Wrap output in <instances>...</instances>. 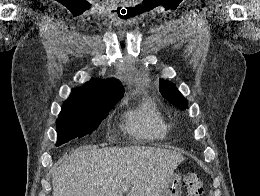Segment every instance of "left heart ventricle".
<instances>
[{
    "label": "left heart ventricle",
    "instance_id": "1",
    "mask_svg": "<svg viewBox=\"0 0 260 196\" xmlns=\"http://www.w3.org/2000/svg\"><path fill=\"white\" fill-rule=\"evenodd\" d=\"M104 192H113L114 190H102ZM89 192H93V190H89Z\"/></svg>",
    "mask_w": 260,
    "mask_h": 196
}]
</instances>
